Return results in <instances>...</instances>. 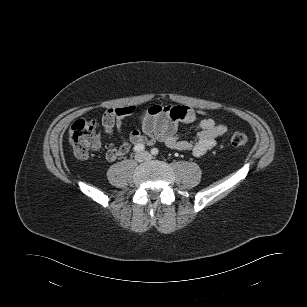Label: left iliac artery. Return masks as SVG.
<instances>
[{
    "label": "left iliac artery",
    "mask_w": 307,
    "mask_h": 307,
    "mask_svg": "<svg viewBox=\"0 0 307 307\" xmlns=\"http://www.w3.org/2000/svg\"><path fill=\"white\" fill-rule=\"evenodd\" d=\"M158 149L157 148H153L152 150H151V154L152 155H154V156H156V155H158Z\"/></svg>",
    "instance_id": "left-iliac-artery-1"
}]
</instances>
